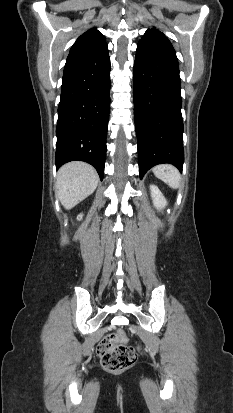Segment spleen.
Here are the masks:
<instances>
[{
  "label": "spleen",
  "mask_w": 233,
  "mask_h": 413,
  "mask_svg": "<svg viewBox=\"0 0 233 413\" xmlns=\"http://www.w3.org/2000/svg\"><path fill=\"white\" fill-rule=\"evenodd\" d=\"M154 175L168 184L171 188L177 189L180 186V173L173 165L161 164L153 168Z\"/></svg>",
  "instance_id": "obj_1"
}]
</instances>
